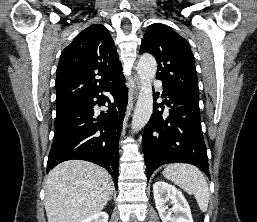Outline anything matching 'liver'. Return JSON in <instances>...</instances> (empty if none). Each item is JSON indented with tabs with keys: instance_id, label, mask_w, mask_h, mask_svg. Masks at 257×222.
<instances>
[{
	"instance_id": "1",
	"label": "liver",
	"mask_w": 257,
	"mask_h": 222,
	"mask_svg": "<svg viewBox=\"0 0 257 222\" xmlns=\"http://www.w3.org/2000/svg\"><path fill=\"white\" fill-rule=\"evenodd\" d=\"M111 189L110 175L98 165L80 160L60 163L46 179L48 222H82L105 207Z\"/></svg>"
}]
</instances>
